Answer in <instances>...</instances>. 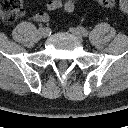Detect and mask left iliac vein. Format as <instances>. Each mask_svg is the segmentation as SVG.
<instances>
[{"mask_svg":"<svg viewBox=\"0 0 128 128\" xmlns=\"http://www.w3.org/2000/svg\"><path fill=\"white\" fill-rule=\"evenodd\" d=\"M69 31L80 41H82V34L81 32L77 29V28H74V27H71L69 29Z\"/></svg>","mask_w":128,"mask_h":128,"instance_id":"obj_1","label":"left iliac vein"}]
</instances>
